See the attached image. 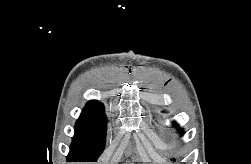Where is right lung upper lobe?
<instances>
[{
  "instance_id": "right-lung-upper-lobe-1",
  "label": "right lung upper lobe",
  "mask_w": 251,
  "mask_h": 164,
  "mask_svg": "<svg viewBox=\"0 0 251 164\" xmlns=\"http://www.w3.org/2000/svg\"><path fill=\"white\" fill-rule=\"evenodd\" d=\"M86 107H92V108H103V105L98 102V101H89L87 104H86Z\"/></svg>"
}]
</instances>
